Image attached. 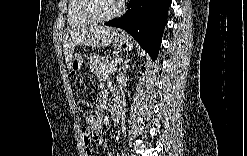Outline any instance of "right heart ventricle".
<instances>
[{
  "label": "right heart ventricle",
  "instance_id": "1",
  "mask_svg": "<svg viewBox=\"0 0 247 156\" xmlns=\"http://www.w3.org/2000/svg\"><path fill=\"white\" fill-rule=\"evenodd\" d=\"M84 0H71L67 8L69 25L72 28H81L91 24L83 14Z\"/></svg>",
  "mask_w": 247,
  "mask_h": 156
}]
</instances>
